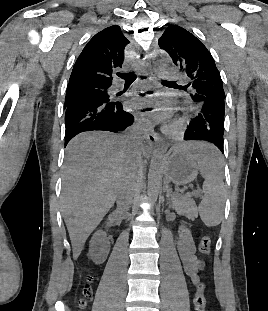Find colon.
I'll return each mask as SVG.
<instances>
[{
    "label": "colon",
    "instance_id": "1",
    "mask_svg": "<svg viewBox=\"0 0 268 311\" xmlns=\"http://www.w3.org/2000/svg\"><path fill=\"white\" fill-rule=\"evenodd\" d=\"M211 237L209 235H204L199 243V251L202 255L206 256L211 252ZM87 283L83 286V298L79 301V306L81 308L85 307L86 300L91 296V288L89 283L92 281V277L88 276L86 279ZM205 286L203 283H199L196 287V292L194 296V310L195 311H205L206 307V297H205Z\"/></svg>",
    "mask_w": 268,
    "mask_h": 311
}]
</instances>
